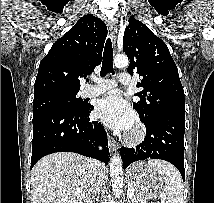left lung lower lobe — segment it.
<instances>
[{
  "label": "left lung lower lobe",
  "mask_w": 214,
  "mask_h": 203,
  "mask_svg": "<svg viewBox=\"0 0 214 203\" xmlns=\"http://www.w3.org/2000/svg\"><path fill=\"white\" fill-rule=\"evenodd\" d=\"M142 122L146 126L144 141L136 148H121L123 168L138 160L162 159L173 164L185 179V113L163 112Z\"/></svg>",
  "instance_id": "1"
}]
</instances>
